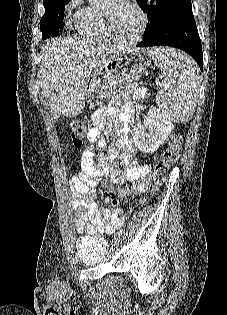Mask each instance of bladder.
<instances>
[{
  "label": "bladder",
  "mask_w": 227,
  "mask_h": 315,
  "mask_svg": "<svg viewBox=\"0 0 227 315\" xmlns=\"http://www.w3.org/2000/svg\"><path fill=\"white\" fill-rule=\"evenodd\" d=\"M108 242L102 237H84L79 243L77 259L83 266H96L106 260Z\"/></svg>",
  "instance_id": "obj_1"
}]
</instances>
